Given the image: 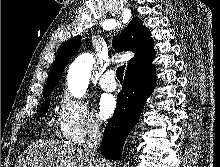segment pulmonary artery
<instances>
[{
    "instance_id": "e3ab8cb5",
    "label": "pulmonary artery",
    "mask_w": 220,
    "mask_h": 167,
    "mask_svg": "<svg viewBox=\"0 0 220 167\" xmlns=\"http://www.w3.org/2000/svg\"><path fill=\"white\" fill-rule=\"evenodd\" d=\"M100 87L108 92L115 91L117 84L113 70L105 71L99 78Z\"/></svg>"
}]
</instances>
